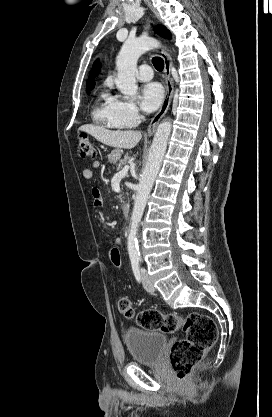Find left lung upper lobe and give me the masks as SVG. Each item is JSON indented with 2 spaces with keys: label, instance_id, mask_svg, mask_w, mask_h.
Here are the masks:
<instances>
[{
  "label": "left lung upper lobe",
  "instance_id": "obj_1",
  "mask_svg": "<svg viewBox=\"0 0 272 417\" xmlns=\"http://www.w3.org/2000/svg\"><path fill=\"white\" fill-rule=\"evenodd\" d=\"M156 33L160 34L161 36L165 38H170L171 34L170 32L163 26L159 25L156 27Z\"/></svg>",
  "mask_w": 272,
  "mask_h": 417
}]
</instances>
